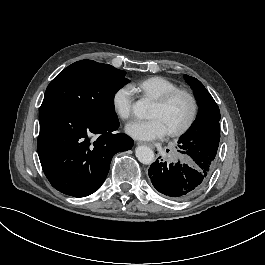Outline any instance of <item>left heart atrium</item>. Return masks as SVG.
<instances>
[{
    "label": "left heart atrium",
    "mask_w": 265,
    "mask_h": 265,
    "mask_svg": "<svg viewBox=\"0 0 265 265\" xmlns=\"http://www.w3.org/2000/svg\"><path fill=\"white\" fill-rule=\"evenodd\" d=\"M126 133L136 140L150 141L167 134L165 127L156 119L133 120L125 128Z\"/></svg>",
    "instance_id": "left-heart-atrium-1"
}]
</instances>
